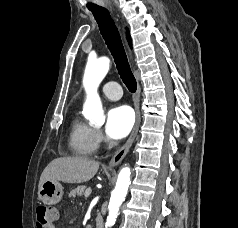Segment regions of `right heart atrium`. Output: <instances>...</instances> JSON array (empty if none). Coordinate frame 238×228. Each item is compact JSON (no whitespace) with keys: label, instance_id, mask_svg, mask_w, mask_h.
Wrapping results in <instances>:
<instances>
[{"label":"right heart atrium","instance_id":"obj_1","mask_svg":"<svg viewBox=\"0 0 238 228\" xmlns=\"http://www.w3.org/2000/svg\"><path fill=\"white\" fill-rule=\"evenodd\" d=\"M94 138L98 145L104 141L103 134L99 129H94Z\"/></svg>","mask_w":238,"mask_h":228}]
</instances>
